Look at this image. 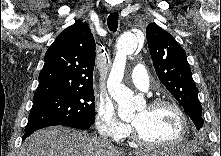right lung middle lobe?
Here are the masks:
<instances>
[{
	"label": "right lung middle lobe",
	"instance_id": "obj_1",
	"mask_svg": "<svg viewBox=\"0 0 221 156\" xmlns=\"http://www.w3.org/2000/svg\"><path fill=\"white\" fill-rule=\"evenodd\" d=\"M93 89L34 98L25 132L55 125L95 123Z\"/></svg>",
	"mask_w": 221,
	"mask_h": 156
}]
</instances>
